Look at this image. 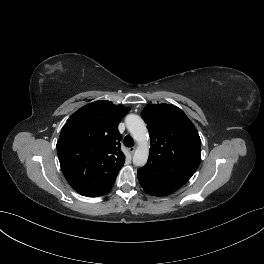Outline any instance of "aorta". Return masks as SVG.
<instances>
[{"instance_id":"762f6f07","label":"aorta","mask_w":264,"mask_h":264,"mask_svg":"<svg viewBox=\"0 0 264 264\" xmlns=\"http://www.w3.org/2000/svg\"><path fill=\"white\" fill-rule=\"evenodd\" d=\"M128 131L138 142V146L133 155V164L135 166H144L149 157L148 148V131L145 122L141 117L135 114H130L125 119Z\"/></svg>"}]
</instances>
